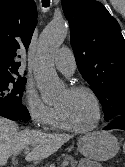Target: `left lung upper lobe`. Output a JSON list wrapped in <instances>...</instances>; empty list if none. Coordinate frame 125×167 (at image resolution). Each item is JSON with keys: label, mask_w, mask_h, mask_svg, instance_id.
<instances>
[{"label": "left lung upper lobe", "mask_w": 125, "mask_h": 167, "mask_svg": "<svg viewBox=\"0 0 125 167\" xmlns=\"http://www.w3.org/2000/svg\"><path fill=\"white\" fill-rule=\"evenodd\" d=\"M77 67L110 122L125 115V40L117 20L95 0H62Z\"/></svg>", "instance_id": "5c2ea615"}]
</instances>
